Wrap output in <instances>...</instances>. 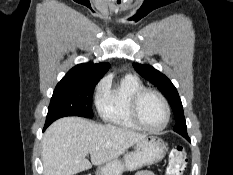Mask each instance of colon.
<instances>
[{"mask_svg":"<svg viewBox=\"0 0 233 175\" xmlns=\"http://www.w3.org/2000/svg\"><path fill=\"white\" fill-rule=\"evenodd\" d=\"M188 162V154L183 146L171 149L165 168V175H182Z\"/></svg>","mask_w":233,"mask_h":175,"instance_id":"colon-1","label":"colon"}]
</instances>
